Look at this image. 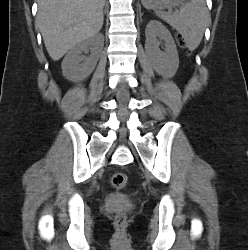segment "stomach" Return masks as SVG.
<instances>
[{
  "mask_svg": "<svg viewBox=\"0 0 248 250\" xmlns=\"http://www.w3.org/2000/svg\"><path fill=\"white\" fill-rule=\"evenodd\" d=\"M185 0H142L147 9L162 10L183 5Z\"/></svg>",
  "mask_w": 248,
  "mask_h": 250,
  "instance_id": "stomach-1",
  "label": "stomach"
}]
</instances>
